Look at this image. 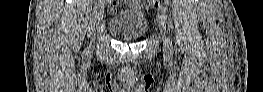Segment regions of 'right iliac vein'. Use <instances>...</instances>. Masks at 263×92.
I'll use <instances>...</instances> for the list:
<instances>
[{
	"label": "right iliac vein",
	"instance_id": "obj_1",
	"mask_svg": "<svg viewBox=\"0 0 263 92\" xmlns=\"http://www.w3.org/2000/svg\"><path fill=\"white\" fill-rule=\"evenodd\" d=\"M103 6H104V1L102 2V4H99V7H97V9H96V18L98 21V31H101L104 28V25L101 24V22H100V20L102 19V16H103ZM93 41H94V39L92 40V43H93Z\"/></svg>",
	"mask_w": 263,
	"mask_h": 92
}]
</instances>
